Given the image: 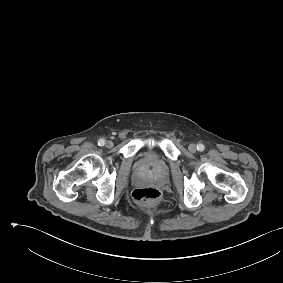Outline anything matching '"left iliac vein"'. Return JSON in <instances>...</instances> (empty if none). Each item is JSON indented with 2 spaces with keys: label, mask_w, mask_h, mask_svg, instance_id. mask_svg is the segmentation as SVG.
Listing matches in <instances>:
<instances>
[{
  "label": "left iliac vein",
  "mask_w": 283,
  "mask_h": 283,
  "mask_svg": "<svg viewBox=\"0 0 283 283\" xmlns=\"http://www.w3.org/2000/svg\"><path fill=\"white\" fill-rule=\"evenodd\" d=\"M188 149L190 152L195 153L197 150V146L195 144H190Z\"/></svg>",
  "instance_id": "4c4485c4"
}]
</instances>
